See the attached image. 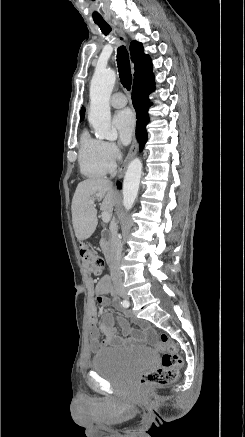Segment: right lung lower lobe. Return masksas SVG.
I'll use <instances>...</instances> for the list:
<instances>
[{"instance_id": "98d812e1", "label": "right lung lower lobe", "mask_w": 245, "mask_h": 437, "mask_svg": "<svg viewBox=\"0 0 245 437\" xmlns=\"http://www.w3.org/2000/svg\"><path fill=\"white\" fill-rule=\"evenodd\" d=\"M155 89L154 79L149 81L137 83L133 85L132 89V102L136 110V137L139 141L140 150L143 149L147 141V131L145 129L146 124L149 121L147 109L151 103L148 99V95ZM118 188H121V183L117 184Z\"/></svg>"}]
</instances>
